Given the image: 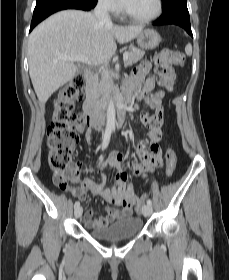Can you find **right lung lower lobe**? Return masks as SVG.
<instances>
[{
	"label": "right lung lower lobe",
	"mask_w": 229,
	"mask_h": 280,
	"mask_svg": "<svg viewBox=\"0 0 229 280\" xmlns=\"http://www.w3.org/2000/svg\"><path fill=\"white\" fill-rule=\"evenodd\" d=\"M97 0H37L30 31L49 15L65 9L91 10Z\"/></svg>",
	"instance_id": "98d812e1"
}]
</instances>
